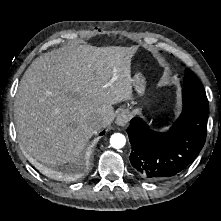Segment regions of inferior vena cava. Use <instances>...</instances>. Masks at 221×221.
I'll return each instance as SVG.
<instances>
[{"label": "inferior vena cava", "mask_w": 221, "mask_h": 221, "mask_svg": "<svg viewBox=\"0 0 221 221\" xmlns=\"http://www.w3.org/2000/svg\"><path fill=\"white\" fill-rule=\"evenodd\" d=\"M89 125L93 130H99L103 125V118L99 115L94 116L91 118Z\"/></svg>", "instance_id": "inferior-vena-cava-1"}]
</instances>
